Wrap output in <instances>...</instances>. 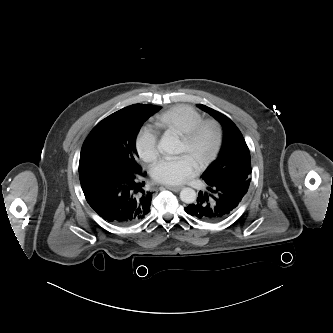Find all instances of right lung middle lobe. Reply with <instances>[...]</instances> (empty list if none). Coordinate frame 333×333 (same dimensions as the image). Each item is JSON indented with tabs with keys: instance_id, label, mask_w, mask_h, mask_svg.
Here are the masks:
<instances>
[{
	"instance_id": "right-lung-middle-lobe-1",
	"label": "right lung middle lobe",
	"mask_w": 333,
	"mask_h": 333,
	"mask_svg": "<svg viewBox=\"0 0 333 333\" xmlns=\"http://www.w3.org/2000/svg\"><path fill=\"white\" fill-rule=\"evenodd\" d=\"M161 107L134 104L99 122L86 138L80 154L79 174L103 171L129 176L139 174L135 147L142 124Z\"/></svg>"
}]
</instances>
